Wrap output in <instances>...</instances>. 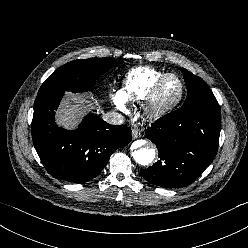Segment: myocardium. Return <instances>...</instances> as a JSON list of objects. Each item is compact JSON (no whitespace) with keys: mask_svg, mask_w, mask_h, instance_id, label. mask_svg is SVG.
<instances>
[{"mask_svg":"<svg viewBox=\"0 0 248 248\" xmlns=\"http://www.w3.org/2000/svg\"><path fill=\"white\" fill-rule=\"evenodd\" d=\"M169 78H176L180 85V90L178 95L169 101H163L160 98V91L165 83V81ZM185 92V85L180 76L174 73H166L153 86L149 96L147 97V105L146 110L149 116L151 117H160L163 116L172 110H174L182 101Z\"/></svg>","mask_w":248,"mask_h":248,"instance_id":"obj_1","label":"myocardium"}]
</instances>
